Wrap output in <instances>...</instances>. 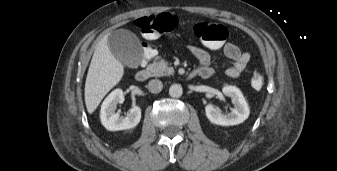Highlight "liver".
<instances>
[{
  "instance_id": "liver-1",
  "label": "liver",
  "mask_w": 337,
  "mask_h": 171,
  "mask_svg": "<svg viewBox=\"0 0 337 171\" xmlns=\"http://www.w3.org/2000/svg\"><path fill=\"white\" fill-rule=\"evenodd\" d=\"M124 66L117 60L108 46L105 36L96 46L85 82V104L93 113L104 96L122 79Z\"/></svg>"
}]
</instances>
